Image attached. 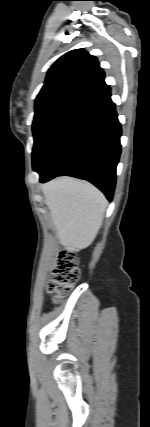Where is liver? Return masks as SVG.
<instances>
[{
    "instance_id": "1",
    "label": "liver",
    "mask_w": 150,
    "mask_h": 427,
    "mask_svg": "<svg viewBox=\"0 0 150 427\" xmlns=\"http://www.w3.org/2000/svg\"><path fill=\"white\" fill-rule=\"evenodd\" d=\"M60 244L76 251L95 239L104 218L107 200L92 184L63 177L42 185Z\"/></svg>"
}]
</instances>
